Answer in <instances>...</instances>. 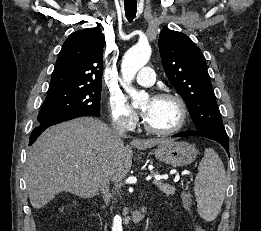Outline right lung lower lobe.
<instances>
[{
  "instance_id": "1",
  "label": "right lung lower lobe",
  "mask_w": 261,
  "mask_h": 231,
  "mask_svg": "<svg viewBox=\"0 0 261 231\" xmlns=\"http://www.w3.org/2000/svg\"><path fill=\"white\" fill-rule=\"evenodd\" d=\"M82 116H93V115H90V114H73V115H68V116L60 117V118H57V119H54V120H51V121H48V122L41 123L39 126H37L32 131V133L30 135L29 146L32 145L36 141V139L39 137V135L45 129H47L48 127L55 125V124H58V123H61L63 121L71 120V119L82 117Z\"/></svg>"
}]
</instances>
